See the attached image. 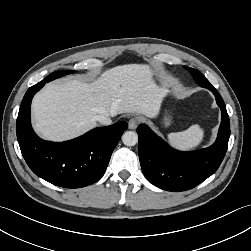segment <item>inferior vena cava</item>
<instances>
[{"instance_id": "inferior-vena-cava-1", "label": "inferior vena cava", "mask_w": 251, "mask_h": 251, "mask_svg": "<svg viewBox=\"0 0 251 251\" xmlns=\"http://www.w3.org/2000/svg\"><path fill=\"white\" fill-rule=\"evenodd\" d=\"M97 121H99L100 124L105 126L110 125L112 123V120L108 115H99L97 117Z\"/></svg>"}]
</instances>
